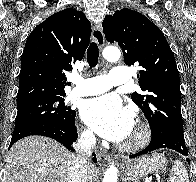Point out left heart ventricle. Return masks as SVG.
<instances>
[{
  "label": "left heart ventricle",
  "instance_id": "obj_1",
  "mask_svg": "<svg viewBox=\"0 0 196 182\" xmlns=\"http://www.w3.org/2000/svg\"><path fill=\"white\" fill-rule=\"evenodd\" d=\"M134 135H135V128H133L131 134L129 135V137L126 139V142L132 140L134 138Z\"/></svg>",
  "mask_w": 196,
  "mask_h": 182
}]
</instances>
